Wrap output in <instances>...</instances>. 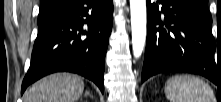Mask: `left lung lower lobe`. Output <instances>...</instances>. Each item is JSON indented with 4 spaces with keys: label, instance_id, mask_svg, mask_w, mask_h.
Returning <instances> with one entry per match:
<instances>
[{
    "label": "left lung lower lobe",
    "instance_id": "left-lung-lower-lobe-1",
    "mask_svg": "<svg viewBox=\"0 0 221 102\" xmlns=\"http://www.w3.org/2000/svg\"><path fill=\"white\" fill-rule=\"evenodd\" d=\"M163 72H188L221 85V62L208 6L199 0L147 1V43L141 82Z\"/></svg>",
    "mask_w": 221,
    "mask_h": 102
}]
</instances>
